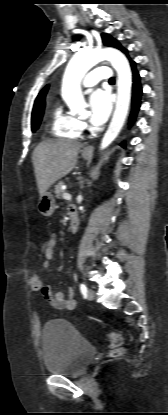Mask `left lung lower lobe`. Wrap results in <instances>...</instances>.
<instances>
[{
    "label": "left lung lower lobe",
    "mask_w": 168,
    "mask_h": 415,
    "mask_svg": "<svg viewBox=\"0 0 168 415\" xmlns=\"http://www.w3.org/2000/svg\"><path fill=\"white\" fill-rule=\"evenodd\" d=\"M130 64L133 72V87H132V112L130 116V123L135 120L136 114L140 107V99L142 95V87L140 84V76L136 70V63L130 59ZM121 146L125 147V143H122Z\"/></svg>",
    "instance_id": "left-lung-lower-lobe-1"
}]
</instances>
